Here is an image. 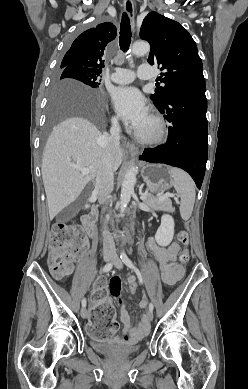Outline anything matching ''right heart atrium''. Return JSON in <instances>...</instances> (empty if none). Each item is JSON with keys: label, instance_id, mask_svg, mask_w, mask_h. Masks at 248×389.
Masks as SVG:
<instances>
[{"label": "right heart atrium", "instance_id": "1", "mask_svg": "<svg viewBox=\"0 0 248 389\" xmlns=\"http://www.w3.org/2000/svg\"><path fill=\"white\" fill-rule=\"evenodd\" d=\"M113 122L114 124H117L118 123V119L116 117L113 118Z\"/></svg>", "mask_w": 248, "mask_h": 389}]
</instances>
